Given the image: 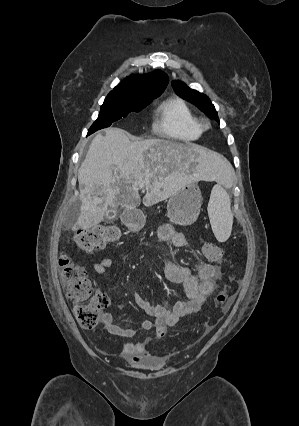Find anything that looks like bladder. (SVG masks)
Returning a JSON list of instances; mask_svg holds the SVG:
<instances>
[{
    "instance_id": "31cf9c89",
    "label": "bladder",
    "mask_w": 299,
    "mask_h": 426,
    "mask_svg": "<svg viewBox=\"0 0 299 426\" xmlns=\"http://www.w3.org/2000/svg\"><path fill=\"white\" fill-rule=\"evenodd\" d=\"M160 364H161V361L158 359H155L151 361L142 362L138 366L140 368L156 369L160 366Z\"/></svg>"
}]
</instances>
